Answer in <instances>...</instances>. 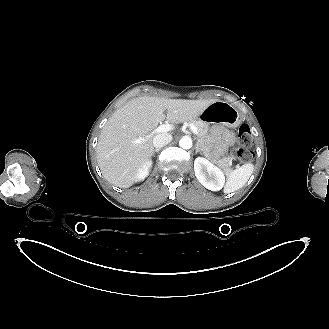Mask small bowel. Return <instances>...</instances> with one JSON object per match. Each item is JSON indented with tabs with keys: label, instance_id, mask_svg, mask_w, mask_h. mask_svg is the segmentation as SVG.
I'll return each instance as SVG.
<instances>
[{
	"label": "small bowel",
	"instance_id": "c3829d8e",
	"mask_svg": "<svg viewBox=\"0 0 329 329\" xmlns=\"http://www.w3.org/2000/svg\"><path fill=\"white\" fill-rule=\"evenodd\" d=\"M212 140L218 153H224L235 143V135L230 130L214 127L212 129Z\"/></svg>",
	"mask_w": 329,
	"mask_h": 329
}]
</instances>
